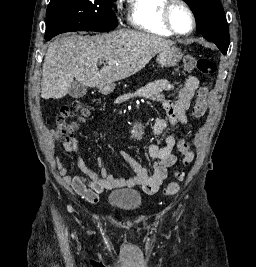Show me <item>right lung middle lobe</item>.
<instances>
[{
  "instance_id": "obj_1",
  "label": "right lung middle lobe",
  "mask_w": 256,
  "mask_h": 267,
  "mask_svg": "<svg viewBox=\"0 0 256 267\" xmlns=\"http://www.w3.org/2000/svg\"><path fill=\"white\" fill-rule=\"evenodd\" d=\"M116 0H51L45 39L70 31H108L117 26Z\"/></svg>"
}]
</instances>
